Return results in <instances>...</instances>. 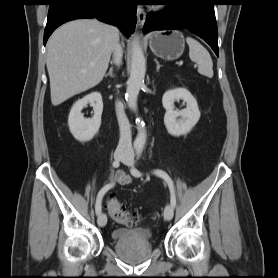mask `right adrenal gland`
<instances>
[{"label": "right adrenal gland", "mask_w": 278, "mask_h": 278, "mask_svg": "<svg viewBox=\"0 0 278 278\" xmlns=\"http://www.w3.org/2000/svg\"><path fill=\"white\" fill-rule=\"evenodd\" d=\"M107 76L114 77L113 68L112 67L109 69V72L105 75V77H107Z\"/></svg>", "instance_id": "right-adrenal-gland-1"}]
</instances>
